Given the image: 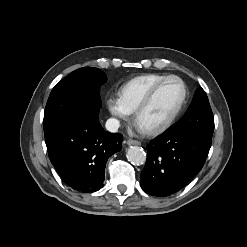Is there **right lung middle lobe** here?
<instances>
[{
    "instance_id": "dd1d6c3e",
    "label": "right lung middle lobe",
    "mask_w": 247,
    "mask_h": 247,
    "mask_svg": "<svg viewBox=\"0 0 247 247\" xmlns=\"http://www.w3.org/2000/svg\"><path fill=\"white\" fill-rule=\"evenodd\" d=\"M106 80L105 73L95 67L77 69L62 79L48 98L44 131L71 120L98 115L100 86Z\"/></svg>"
}]
</instances>
